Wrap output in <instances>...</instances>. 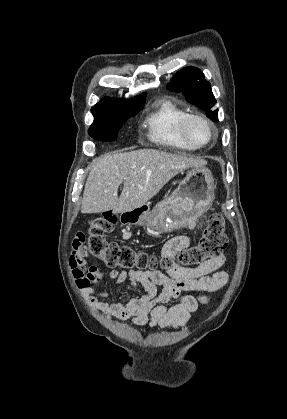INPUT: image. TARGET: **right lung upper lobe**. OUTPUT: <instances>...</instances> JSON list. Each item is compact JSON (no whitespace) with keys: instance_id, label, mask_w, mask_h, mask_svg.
Segmentation results:
<instances>
[{"instance_id":"obj_1","label":"right lung upper lobe","mask_w":287,"mask_h":419,"mask_svg":"<svg viewBox=\"0 0 287 419\" xmlns=\"http://www.w3.org/2000/svg\"><path fill=\"white\" fill-rule=\"evenodd\" d=\"M146 93L135 97L134 99L128 101L125 99H112V98H105L97 103L95 106L92 107L91 112L92 114H98L102 112L108 111H115L120 109H127V108H137L144 106Z\"/></svg>"}]
</instances>
